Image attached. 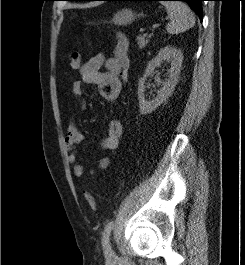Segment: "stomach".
Wrapping results in <instances>:
<instances>
[{
  "label": "stomach",
  "instance_id": "obj_1",
  "mask_svg": "<svg viewBox=\"0 0 245 265\" xmlns=\"http://www.w3.org/2000/svg\"><path fill=\"white\" fill-rule=\"evenodd\" d=\"M141 15L142 14L136 15L131 9H122L113 16L112 21L116 25H128L131 24L137 16Z\"/></svg>",
  "mask_w": 245,
  "mask_h": 265
}]
</instances>
